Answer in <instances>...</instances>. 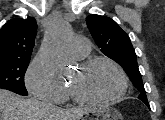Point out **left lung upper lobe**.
Wrapping results in <instances>:
<instances>
[{"label":"left lung upper lobe","mask_w":165,"mask_h":120,"mask_svg":"<svg viewBox=\"0 0 165 120\" xmlns=\"http://www.w3.org/2000/svg\"><path fill=\"white\" fill-rule=\"evenodd\" d=\"M86 23L98 47L106 56L123 67L133 85L140 91L138 98L149 107L136 54L129 36L109 17L89 15Z\"/></svg>","instance_id":"5c2ea615"}]
</instances>
